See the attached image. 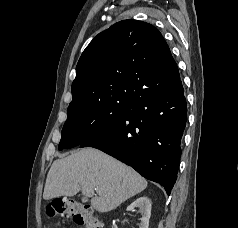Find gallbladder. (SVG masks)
<instances>
[{
  "label": "gallbladder",
  "instance_id": "1",
  "mask_svg": "<svg viewBox=\"0 0 238 228\" xmlns=\"http://www.w3.org/2000/svg\"><path fill=\"white\" fill-rule=\"evenodd\" d=\"M86 200H87V197H84V198H83V201H86Z\"/></svg>",
  "mask_w": 238,
  "mask_h": 228
}]
</instances>
